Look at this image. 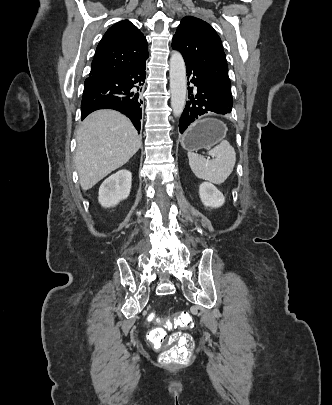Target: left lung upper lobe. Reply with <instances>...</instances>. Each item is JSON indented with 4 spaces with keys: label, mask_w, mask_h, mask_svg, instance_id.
Instances as JSON below:
<instances>
[{
    "label": "left lung upper lobe",
    "mask_w": 332,
    "mask_h": 405,
    "mask_svg": "<svg viewBox=\"0 0 332 405\" xmlns=\"http://www.w3.org/2000/svg\"><path fill=\"white\" fill-rule=\"evenodd\" d=\"M173 49L179 50L185 63L202 71L214 85L223 104L232 108L231 82L220 37L205 21L186 16L172 39Z\"/></svg>",
    "instance_id": "left-lung-upper-lobe-1"
}]
</instances>
